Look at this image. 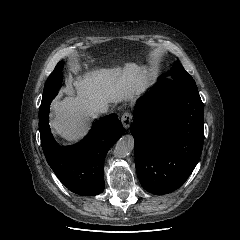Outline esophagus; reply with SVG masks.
I'll list each match as a JSON object with an SVG mask.
<instances>
[{
  "mask_svg": "<svg viewBox=\"0 0 240 240\" xmlns=\"http://www.w3.org/2000/svg\"><path fill=\"white\" fill-rule=\"evenodd\" d=\"M121 122L124 128H128L132 122V114L127 111L121 116Z\"/></svg>",
  "mask_w": 240,
  "mask_h": 240,
  "instance_id": "1",
  "label": "esophagus"
}]
</instances>
